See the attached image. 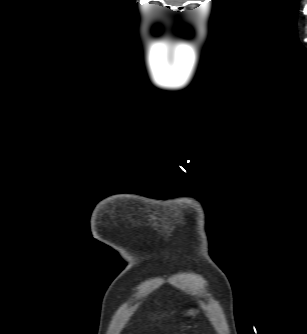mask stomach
Wrapping results in <instances>:
<instances>
[{"instance_id":"1","label":"stomach","mask_w":307,"mask_h":334,"mask_svg":"<svg viewBox=\"0 0 307 334\" xmlns=\"http://www.w3.org/2000/svg\"><path fill=\"white\" fill-rule=\"evenodd\" d=\"M187 315H194L195 314V310L190 309L186 312Z\"/></svg>"}]
</instances>
